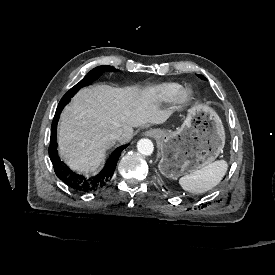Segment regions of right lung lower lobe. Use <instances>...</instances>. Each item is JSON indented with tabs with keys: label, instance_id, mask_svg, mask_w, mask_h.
Wrapping results in <instances>:
<instances>
[{
	"label": "right lung lower lobe",
	"instance_id": "1",
	"mask_svg": "<svg viewBox=\"0 0 275 275\" xmlns=\"http://www.w3.org/2000/svg\"><path fill=\"white\" fill-rule=\"evenodd\" d=\"M70 100H61L56 109L55 116L53 118L52 127H51V138H50V146H49V156L52 161L54 171L57 177L62 180L65 184L70 186L71 188L79 191V192H91L101 189L105 186V184L110 181L114 170L116 168L117 161L121 155V152L128 146L123 145L118 147L116 150L112 152L110 157L107 160L102 171L91 178H86L82 175L74 173L71 171L57 156V143H56V133H57V123L60 117V113L63 108Z\"/></svg>",
	"mask_w": 275,
	"mask_h": 275
}]
</instances>
